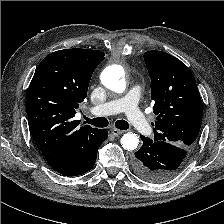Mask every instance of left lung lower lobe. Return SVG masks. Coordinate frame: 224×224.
Returning a JSON list of instances; mask_svg holds the SVG:
<instances>
[{
    "mask_svg": "<svg viewBox=\"0 0 224 224\" xmlns=\"http://www.w3.org/2000/svg\"><path fill=\"white\" fill-rule=\"evenodd\" d=\"M142 147L135 152L133 168L143 180L162 183L173 177V171L182 169L187 157L186 149L163 141H153L141 136Z\"/></svg>",
    "mask_w": 224,
    "mask_h": 224,
    "instance_id": "1",
    "label": "left lung lower lobe"
}]
</instances>
